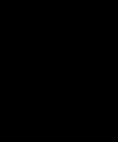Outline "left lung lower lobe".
Instances as JSON below:
<instances>
[{
	"label": "left lung lower lobe",
	"mask_w": 118,
	"mask_h": 142,
	"mask_svg": "<svg viewBox=\"0 0 118 142\" xmlns=\"http://www.w3.org/2000/svg\"><path fill=\"white\" fill-rule=\"evenodd\" d=\"M62 124L64 131L73 138L74 142H91L101 132V129L71 110L62 117Z\"/></svg>",
	"instance_id": "0a47b994"
}]
</instances>
